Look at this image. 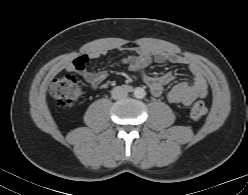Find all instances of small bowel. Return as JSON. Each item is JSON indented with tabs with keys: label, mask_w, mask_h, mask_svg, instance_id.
I'll return each mask as SVG.
<instances>
[{
	"label": "small bowel",
	"mask_w": 248,
	"mask_h": 195,
	"mask_svg": "<svg viewBox=\"0 0 248 195\" xmlns=\"http://www.w3.org/2000/svg\"><path fill=\"white\" fill-rule=\"evenodd\" d=\"M105 51H97L88 55L78 57L65 67L67 72H76L81 75L93 90H98L107 78L105 71H87L85 64L90 59L100 58ZM128 68L138 73L145 84L149 87L152 95H162L164 86L174 80L173 74L153 77L145 73V68L152 62L173 64H187L193 76L192 82H179L168 93V101L174 105L189 106L195 99L203 98L208 93V86L202 68L195 62H187L177 54L168 53L163 50L150 48H137L122 57Z\"/></svg>",
	"instance_id": "obj_1"
}]
</instances>
